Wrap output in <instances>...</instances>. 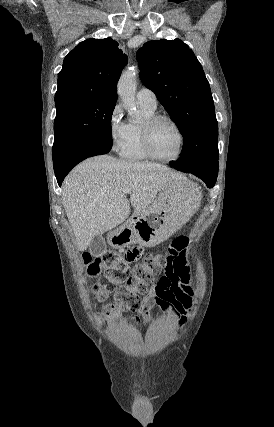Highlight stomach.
<instances>
[{
  "instance_id": "stomach-1",
  "label": "stomach",
  "mask_w": 274,
  "mask_h": 427,
  "mask_svg": "<svg viewBox=\"0 0 274 427\" xmlns=\"http://www.w3.org/2000/svg\"><path fill=\"white\" fill-rule=\"evenodd\" d=\"M178 190H174V184L169 186L170 194L167 200L154 202L148 210L142 214H132L123 225L109 231L108 243L119 249L128 247L131 243H140L146 247H153L161 241L168 239L177 229L173 219L176 215H185L189 219L199 208V188L193 182H176Z\"/></svg>"
}]
</instances>
